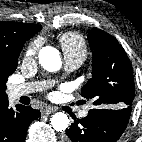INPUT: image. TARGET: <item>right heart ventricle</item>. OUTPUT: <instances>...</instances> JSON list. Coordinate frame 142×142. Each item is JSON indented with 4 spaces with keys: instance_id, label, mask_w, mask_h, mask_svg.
Wrapping results in <instances>:
<instances>
[{
    "instance_id": "e07e8e85",
    "label": "right heart ventricle",
    "mask_w": 142,
    "mask_h": 142,
    "mask_svg": "<svg viewBox=\"0 0 142 142\" xmlns=\"http://www.w3.org/2000/svg\"><path fill=\"white\" fill-rule=\"evenodd\" d=\"M60 45L65 57H76L84 60L87 46L84 38L76 32H68L60 37Z\"/></svg>"
}]
</instances>
